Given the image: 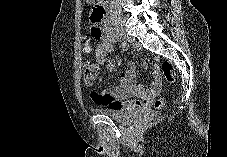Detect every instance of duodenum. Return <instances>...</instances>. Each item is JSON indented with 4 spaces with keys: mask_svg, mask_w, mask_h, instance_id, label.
<instances>
[{
    "mask_svg": "<svg viewBox=\"0 0 227 157\" xmlns=\"http://www.w3.org/2000/svg\"><path fill=\"white\" fill-rule=\"evenodd\" d=\"M109 7V0H100L97 4H93V9H95L97 16L88 17V20L91 21V25H95V27H91V32H112L110 25L106 21Z\"/></svg>",
    "mask_w": 227,
    "mask_h": 157,
    "instance_id": "obj_1",
    "label": "duodenum"
}]
</instances>
